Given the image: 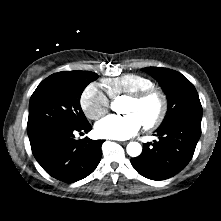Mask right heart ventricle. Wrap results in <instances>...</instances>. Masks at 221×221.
Masks as SVG:
<instances>
[{"label":"right heart ventricle","instance_id":"1","mask_svg":"<svg viewBox=\"0 0 221 221\" xmlns=\"http://www.w3.org/2000/svg\"><path fill=\"white\" fill-rule=\"evenodd\" d=\"M102 85L110 97H116L145 90L153 87L154 83L144 75L128 73L119 77L104 79Z\"/></svg>","mask_w":221,"mask_h":221}]
</instances>
